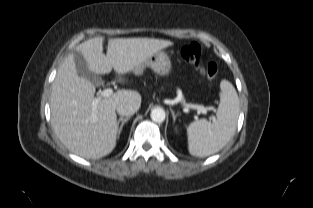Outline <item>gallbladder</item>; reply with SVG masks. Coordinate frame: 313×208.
Wrapping results in <instances>:
<instances>
[{
  "mask_svg": "<svg viewBox=\"0 0 313 208\" xmlns=\"http://www.w3.org/2000/svg\"><path fill=\"white\" fill-rule=\"evenodd\" d=\"M72 54L74 56V61L77 66L79 73L90 80L95 85L103 84V80L101 77L93 74V72L89 69L88 64L82 54L77 50H73Z\"/></svg>",
  "mask_w": 313,
  "mask_h": 208,
  "instance_id": "gallbladder-1",
  "label": "gallbladder"
}]
</instances>
